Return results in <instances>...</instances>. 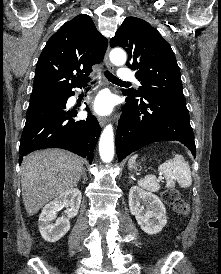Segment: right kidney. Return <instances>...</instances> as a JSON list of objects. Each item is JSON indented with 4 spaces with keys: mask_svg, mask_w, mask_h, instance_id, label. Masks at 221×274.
Masks as SVG:
<instances>
[{
    "mask_svg": "<svg viewBox=\"0 0 221 274\" xmlns=\"http://www.w3.org/2000/svg\"><path fill=\"white\" fill-rule=\"evenodd\" d=\"M82 193L77 188L70 189L49 202L39 216V231L44 240L56 242L70 229V219L78 214ZM68 207L66 217L57 218L62 208ZM57 218V219H56ZM56 219V222L53 221Z\"/></svg>",
    "mask_w": 221,
    "mask_h": 274,
    "instance_id": "ca27d5eb",
    "label": "right kidney"
}]
</instances>
